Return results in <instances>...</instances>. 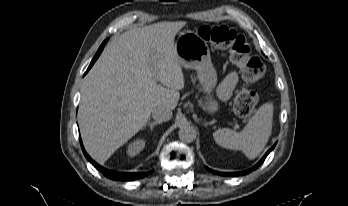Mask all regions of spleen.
<instances>
[{
    "label": "spleen",
    "mask_w": 348,
    "mask_h": 206,
    "mask_svg": "<svg viewBox=\"0 0 348 206\" xmlns=\"http://www.w3.org/2000/svg\"><path fill=\"white\" fill-rule=\"evenodd\" d=\"M273 107L263 104L241 132L223 128L213 133L215 142L223 148L242 151L255 159L265 148L272 132Z\"/></svg>",
    "instance_id": "spleen-1"
}]
</instances>
